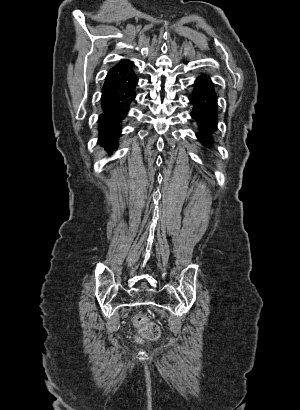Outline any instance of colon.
I'll return each mask as SVG.
<instances>
[{"mask_svg": "<svg viewBox=\"0 0 300 410\" xmlns=\"http://www.w3.org/2000/svg\"><path fill=\"white\" fill-rule=\"evenodd\" d=\"M135 323L141 331V335L144 339L149 341H156L161 334L160 328L158 325L149 322L143 316H136Z\"/></svg>", "mask_w": 300, "mask_h": 410, "instance_id": "obj_1", "label": "colon"}]
</instances>
